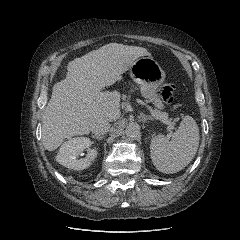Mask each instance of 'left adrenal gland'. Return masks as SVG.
<instances>
[{
	"label": "left adrenal gland",
	"mask_w": 240,
	"mask_h": 240,
	"mask_svg": "<svg viewBox=\"0 0 240 240\" xmlns=\"http://www.w3.org/2000/svg\"><path fill=\"white\" fill-rule=\"evenodd\" d=\"M140 118H142L141 120L145 123L147 120H151L152 117L149 115H145L144 113L140 114Z\"/></svg>",
	"instance_id": "a2214340"
}]
</instances>
